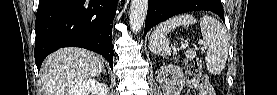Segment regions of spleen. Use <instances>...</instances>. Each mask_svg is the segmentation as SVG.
I'll list each match as a JSON object with an SVG mask.
<instances>
[{"instance_id":"spleen-1","label":"spleen","mask_w":277,"mask_h":95,"mask_svg":"<svg viewBox=\"0 0 277 95\" xmlns=\"http://www.w3.org/2000/svg\"><path fill=\"white\" fill-rule=\"evenodd\" d=\"M197 20L190 14L175 16L159 24L152 32L149 40V49L160 56H171L172 50L169 46L167 34L176 27L193 25ZM202 39L199 44L207 48L205 57L206 66L211 74H220L228 58L229 38L225 27L214 17L204 16L200 19ZM177 50L173 49V55Z\"/></svg>"}]
</instances>
